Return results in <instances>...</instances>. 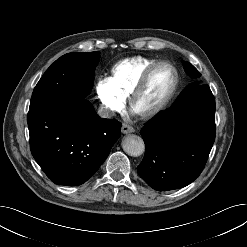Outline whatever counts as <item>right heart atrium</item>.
Instances as JSON below:
<instances>
[{"label": "right heart atrium", "instance_id": "d8ad5b80", "mask_svg": "<svg viewBox=\"0 0 247 247\" xmlns=\"http://www.w3.org/2000/svg\"><path fill=\"white\" fill-rule=\"evenodd\" d=\"M95 92L104 115L109 116L123 109L125 98L115 90L108 77L98 79Z\"/></svg>", "mask_w": 247, "mask_h": 247}]
</instances>
